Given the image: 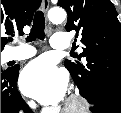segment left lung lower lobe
<instances>
[{
    "mask_svg": "<svg viewBox=\"0 0 121 113\" xmlns=\"http://www.w3.org/2000/svg\"><path fill=\"white\" fill-rule=\"evenodd\" d=\"M94 106L91 108L93 113H121V101L102 93H90L82 95Z\"/></svg>",
    "mask_w": 121,
    "mask_h": 113,
    "instance_id": "obj_1",
    "label": "left lung lower lobe"
}]
</instances>
